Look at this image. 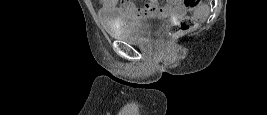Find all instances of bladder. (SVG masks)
Instances as JSON below:
<instances>
[{
  "mask_svg": "<svg viewBox=\"0 0 267 115\" xmlns=\"http://www.w3.org/2000/svg\"><path fill=\"white\" fill-rule=\"evenodd\" d=\"M167 21L165 15L145 14L136 22L106 26L110 36L129 42H143L152 38Z\"/></svg>",
  "mask_w": 267,
  "mask_h": 115,
  "instance_id": "obj_1",
  "label": "bladder"
}]
</instances>
